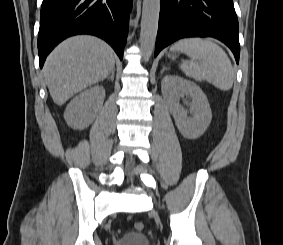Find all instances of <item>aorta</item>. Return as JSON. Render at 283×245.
<instances>
[{
  "label": "aorta",
  "instance_id": "aorta-1",
  "mask_svg": "<svg viewBox=\"0 0 283 245\" xmlns=\"http://www.w3.org/2000/svg\"><path fill=\"white\" fill-rule=\"evenodd\" d=\"M159 12L160 0H143L140 44L145 60H149L154 50Z\"/></svg>",
  "mask_w": 283,
  "mask_h": 245
}]
</instances>
